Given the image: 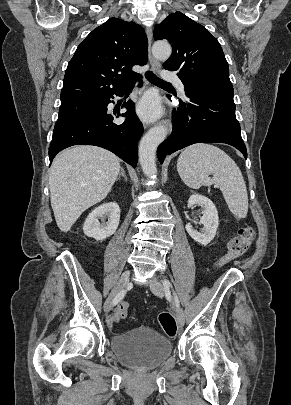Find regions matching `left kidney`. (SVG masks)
<instances>
[{
    "label": "left kidney",
    "instance_id": "5707ae66",
    "mask_svg": "<svg viewBox=\"0 0 291 405\" xmlns=\"http://www.w3.org/2000/svg\"><path fill=\"white\" fill-rule=\"evenodd\" d=\"M195 205L204 209L203 216L199 224L203 225L201 232L196 231L191 223L186 224V231L196 242L207 245L216 235L219 224V217L214 203L207 197L200 194H193L188 200V208H193Z\"/></svg>",
    "mask_w": 291,
    "mask_h": 405
}]
</instances>
